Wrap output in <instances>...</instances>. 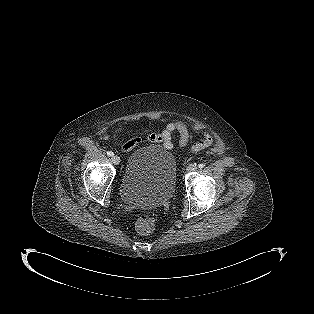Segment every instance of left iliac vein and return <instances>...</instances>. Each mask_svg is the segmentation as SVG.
<instances>
[{
  "instance_id": "obj_1",
  "label": "left iliac vein",
  "mask_w": 314,
  "mask_h": 314,
  "mask_svg": "<svg viewBox=\"0 0 314 314\" xmlns=\"http://www.w3.org/2000/svg\"><path fill=\"white\" fill-rule=\"evenodd\" d=\"M196 169H197V165L194 164V163H191V164H189V165L187 166V171H188V172H193V171H195Z\"/></svg>"
}]
</instances>
